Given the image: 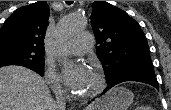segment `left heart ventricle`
Returning <instances> with one entry per match:
<instances>
[{
    "mask_svg": "<svg viewBox=\"0 0 171 110\" xmlns=\"http://www.w3.org/2000/svg\"><path fill=\"white\" fill-rule=\"evenodd\" d=\"M96 86H97V77L92 71H89V74L86 77L83 84L79 87L78 90H76V94L78 95L88 94L92 92L96 88Z\"/></svg>",
    "mask_w": 171,
    "mask_h": 110,
    "instance_id": "1",
    "label": "left heart ventricle"
}]
</instances>
